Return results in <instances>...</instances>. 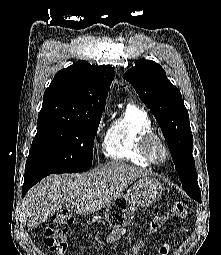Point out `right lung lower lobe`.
<instances>
[{
    "mask_svg": "<svg viewBox=\"0 0 221 255\" xmlns=\"http://www.w3.org/2000/svg\"><path fill=\"white\" fill-rule=\"evenodd\" d=\"M47 173H31L25 175L24 184L22 188V196L26 194V192L37 182H39L42 178L46 177Z\"/></svg>",
    "mask_w": 221,
    "mask_h": 255,
    "instance_id": "obj_1",
    "label": "right lung lower lobe"
}]
</instances>
